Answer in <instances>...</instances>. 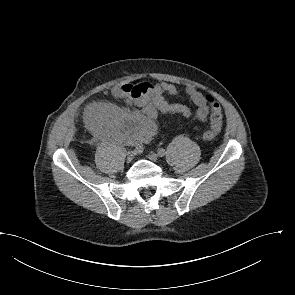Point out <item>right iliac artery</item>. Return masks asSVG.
Returning <instances> with one entry per match:
<instances>
[{"instance_id":"1","label":"right iliac artery","mask_w":295,"mask_h":295,"mask_svg":"<svg viewBox=\"0 0 295 295\" xmlns=\"http://www.w3.org/2000/svg\"><path fill=\"white\" fill-rule=\"evenodd\" d=\"M140 148H141V146H140V145H137V146H136V151H139Z\"/></svg>"}]
</instances>
